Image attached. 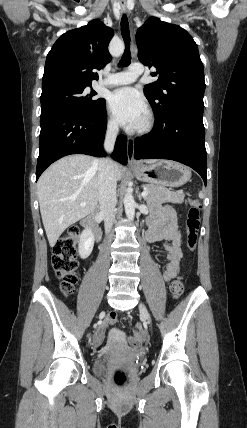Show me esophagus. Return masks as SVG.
Returning a JSON list of instances; mask_svg holds the SVG:
<instances>
[{
	"label": "esophagus",
	"mask_w": 247,
	"mask_h": 428,
	"mask_svg": "<svg viewBox=\"0 0 247 428\" xmlns=\"http://www.w3.org/2000/svg\"><path fill=\"white\" fill-rule=\"evenodd\" d=\"M123 13L127 12L126 5H122L121 8ZM127 157H128V163L129 165H136L137 162L134 159V140L131 137L127 138Z\"/></svg>",
	"instance_id": "34e87169"
}]
</instances>
